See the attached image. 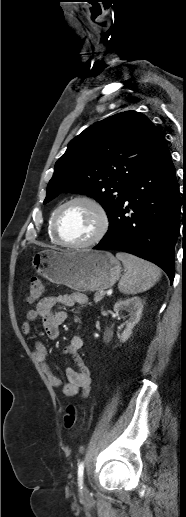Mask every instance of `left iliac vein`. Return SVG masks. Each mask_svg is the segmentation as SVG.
<instances>
[{"mask_svg":"<svg viewBox=\"0 0 186 517\" xmlns=\"http://www.w3.org/2000/svg\"><path fill=\"white\" fill-rule=\"evenodd\" d=\"M80 491H81V494H84V493H86V492H87V488L83 485V486L81 487V490H80Z\"/></svg>","mask_w":186,"mask_h":517,"instance_id":"obj_1","label":"left iliac vein"}]
</instances>
